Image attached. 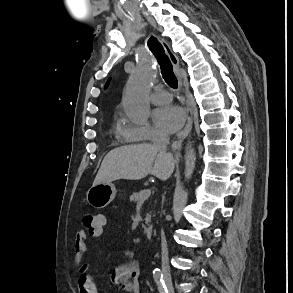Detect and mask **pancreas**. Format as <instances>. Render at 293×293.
<instances>
[{"label":"pancreas","mask_w":293,"mask_h":293,"mask_svg":"<svg viewBox=\"0 0 293 293\" xmlns=\"http://www.w3.org/2000/svg\"><path fill=\"white\" fill-rule=\"evenodd\" d=\"M147 190L144 189V190H141L139 192H135L133 193L131 196H130V200L132 202H138L141 200V197L144 195V193L146 192ZM150 219H151V216L149 214H147L146 218H145V221L146 223L148 224L150 222ZM146 232H150V229H145Z\"/></svg>","instance_id":"cf45deb5"}]
</instances>
